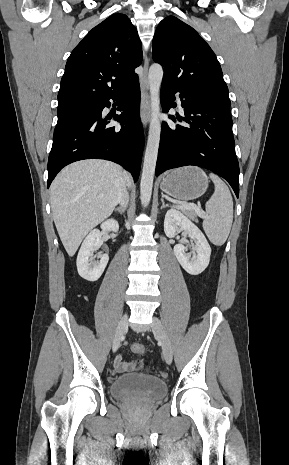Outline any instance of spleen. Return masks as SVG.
<instances>
[{
    "label": "spleen",
    "instance_id": "1",
    "mask_svg": "<svg viewBox=\"0 0 289 465\" xmlns=\"http://www.w3.org/2000/svg\"><path fill=\"white\" fill-rule=\"evenodd\" d=\"M215 191L206 203L203 229L209 240L216 246L223 245L230 233L233 222V199L227 185L215 174H210Z\"/></svg>",
    "mask_w": 289,
    "mask_h": 465
}]
</instances>
